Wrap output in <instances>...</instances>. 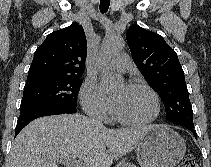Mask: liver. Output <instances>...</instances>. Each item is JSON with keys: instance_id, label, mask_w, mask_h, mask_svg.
I'll list each match as a JSON object with an SVG mask.
<instances>
[{"instance_id": "6515ba94", "label": "liver", "mask_w": 211, "mask_h": 167, "mask_svg": "<svg viewBox=\"0 0 211 167\" xmlns=\"http://www.w3.org/2000/svg\"><path fill=\"white\" fill-rule=\"evenodd\" d=\"M153 126L108 129L78 114L38 118L13 142L9 167H57L79 159L84 167H110L131 152Z\"/></svg>"}]
</instances>
